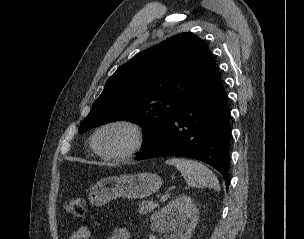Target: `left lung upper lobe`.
<instances>
[{
	"label": "left lung upper lobe",
	"mask_w": 304,
	"mask_h": 239,
	"mask_svg": "<svg viewBox=\"0 0 304 239\" xmlns=\"http://www.w3.org/2000/svg\"><path fill=\"white\" fill-rule=\"evenodd\" d=\"M215 68L205 42L184 32L120 66L82 121L79 133L115 120L142 125L145 147L169 125Z\"/></svg>",
	"instance_id": "left-lung-upper-lobe-1"
}]
</instances>
